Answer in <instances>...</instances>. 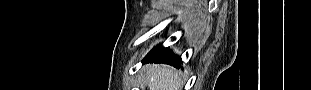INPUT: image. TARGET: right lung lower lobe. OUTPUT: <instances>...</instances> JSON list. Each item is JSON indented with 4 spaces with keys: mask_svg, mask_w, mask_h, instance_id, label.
<instances>
[{
    "mask_svg": "<svg viewBox=\"0 0 311 90\" xmlns=\"http://www.w3.org/2000/svg\"><path fill=\"white\" fill-rule=\"evenodd\" d=\"M145 59L149 62L167 63L177 68H180L182 63L179 56L172 54L168 48L162 46L154 48Z\"/></svg>",
    "mask_w": 311,
    "mask_h": 90,
    "instance_id": "98d812e1",
    "label": "right lung lower lobe"
}]
</instances>
